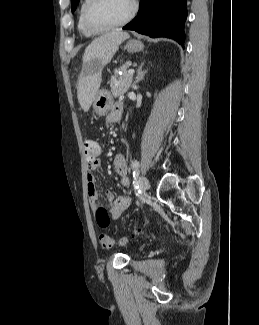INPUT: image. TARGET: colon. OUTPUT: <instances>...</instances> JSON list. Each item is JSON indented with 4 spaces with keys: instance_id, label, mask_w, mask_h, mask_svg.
Returning <instances> with one entry per match:
<instances>
[{
    "instance_id": "1",
    "label": "colon",
    "mask_w": 259,
    "mask_h": 325,
    "mask_svg": "<svg viewBox=\"0 0 259 325\" xmlns=\"http://www.w3.org/2000/svg\"><path fill=\"white\" fill-rule=\"evenodd\" d=\"M84 150H85L86 157L94 158L98 154V143L93 139H86L84 140ZM95 215H96V220L100 226L104 227L109 223L110 220L109 214L105 208L98 207L96 209ZM135 233H137V231ZM127 241H128L127 237H122L118 241H116L107 234L101 233L99 235L100 245L104 249H111L116 245H125Z\"/></svg>"
}]
</instances>
